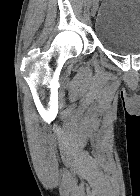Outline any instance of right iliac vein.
<instances>
[{"instance_id":"1","label":"right iliac vein","mask_w":140,"mask_h":196,"mask_svg":"<svg viewBox=\"0 0 140 196\" xmlns=\"http://www.w3.org/2000/svg\"><path fill=\"white\" fill-rule=\"evenodd\" d=\"M96 11H97V6L94 5L93 8L91 9V16H92V17H95Z\"/></svg>"}]
</instances>
